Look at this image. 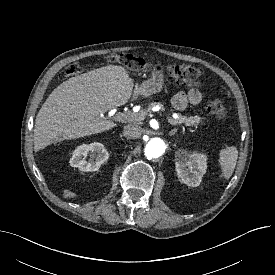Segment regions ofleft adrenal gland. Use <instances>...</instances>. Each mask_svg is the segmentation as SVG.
<instances>
[{
    "instance_id": "obj_1",
    "label": "left adrenal gland",
    "mask_w": 275,
    "mask_h": 275,
    "mask_svg": "<svg viewBox=\"0 0 275 275\" xmlns=\"http://www.w3.org/2000/svg\"><path fill=\"white\" fill-rule=\"evenodd\" d=\"M176 132H177V129H173V130H171V131L169 132V135H170V136H173V135L176 134Z\"/></svg>"
}]
</instances>
